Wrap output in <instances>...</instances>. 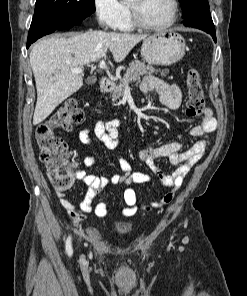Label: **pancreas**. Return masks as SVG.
<instances>
[{"label": "pancreas", "instance_id": "1", "mask_svg": "<svg viewBox=\"0 0 247 296\" xmlns=\"http://www.w3.org/2000/svg\"><path fill=\"white\" fill-rule=\"evenodd\" d=\"M157 72H159V70H155L154 67L150 65H145V63H142L140 61L131 62L121 82L118 84H114V88L111 92L112 101L120 99L124 94L126 85H128L132 81L139 80L142 75H152ZM160 74L161 76H166L168 74V71H160Z\"/></svg>", "mask_w": 247, "mask_h": 296}]
</instances>
